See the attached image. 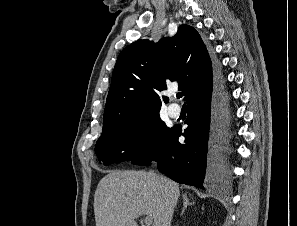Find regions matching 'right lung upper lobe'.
I'll return each mask as SVG.
<instances>
[{
	"mask_svg": "<svg viewBox=\"0 0 297 226\" xmlns=\"http://www.w3.org/2000/svg\"><path fill=\"white\" fill-rule=\"evenodd\" d=\"M209 53L198 32L181 25L175 36L159 42L138 40L119 55L114 67L104 118H125L140 112L160 110L158 91L168 81H178L185 100L204 91L213 82Z\"/></svg>",
	"mask_w": 297,
	"mask_h": 226,
	"instance_id": "cb5924a9",
	"label": "right lung upper lobe"
}]
</instances>
